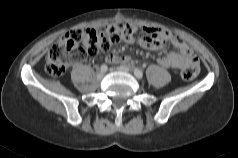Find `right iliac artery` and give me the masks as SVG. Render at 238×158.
Returning <instances> with one entry per match:
<instances>
[{"mask_svg": "<svg viewBox=\"0 0 238 158\" xmlns=\"http://www.w3.org/2000/svg\"><path fill=\"white\" fill-rule=\"evenodd\" d=\"M107 69H108L107 65H105V64L101 65V67H100L101 72H106Z\"/></svg>", "mask_w": 238, "mask_h": 158, "instance_id": "1", "label": "right iliac artery"}]
</instances>
